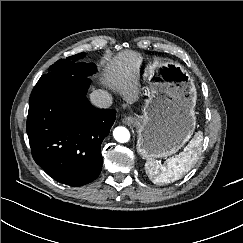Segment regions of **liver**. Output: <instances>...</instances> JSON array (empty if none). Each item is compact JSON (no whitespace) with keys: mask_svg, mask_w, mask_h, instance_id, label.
I'll return each instance as SVG.
<instances>
[{"mask_svg":"<svg viewBox=\"0 0 243 243\" xmlns=\"http://www.w3.org/2000/svg\"><path fill=\"white\" fill-rule=\"evenodd\" d=\"M141 57L133 51H123L109 59L102 77L101 84L117 90L124 100L132 104L138 98V83L132 73Z\"/></svg>","mask_w":243,"mask_h":243,"instance_id":"6515ba94","label":"liver"}]
</instances>
